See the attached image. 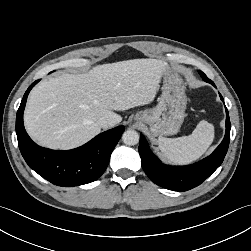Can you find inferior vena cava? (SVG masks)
<instances>
[{
  "instance_id": "inferior-vena-cava-1",
  "label": "inferior vena cava",
  "mask_w": 251,
  "mask_h": 251,
  "mask_svg": "<svg viewBox=\"0 0 251 251\" xmlns=\"http://www.w3.org/2000/svg\"><path fill=\"white\" fill-rule=\"evenodd\" d=\"M97 124L103 128V129H107L112 127L114 124L112 121H110L109 119L105 118V117H101L97 120Z\"/></svg>"
}]
</instances>
